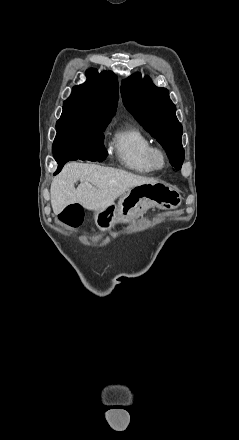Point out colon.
<instances>
[{
    "label": "colon",
    "mask_w": 239,
    "mask_h": 440,
    "mask_svg": "<svg viewBox=\"0 0 239 440\" xmlns=\"http://www.w3.org/2000/svg\"><path fill=\"white\" fill-rule=\"evenodd\" d=\"M60 219L71 227H77L81 224L82 209L78 204L67 206L61 213Z\"/></svg>",
    "instance_id": "obj_1"
}]
</instances>
